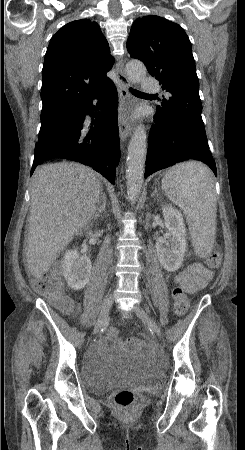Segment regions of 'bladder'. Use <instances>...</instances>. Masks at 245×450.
I'll return each mask as SVG.
<instances>
[{
    "label": "bladder",
    "instance_id": "bladder-1",
    "mask_svg": "<svg viewBox=\"0 0 245 450\" xmlns=\"http://www.w3.org/2000/svg\"><path fill=\"white\" fill-rule=\"evenodd\" d=\"M161 379L160 372L137 355L102 356L81 365L82 383L94 395L123 386L151 390Z\"/></svg>",
    "mask_w": 245,
    "mask_h": 450
}]
</instances>
